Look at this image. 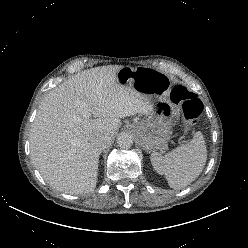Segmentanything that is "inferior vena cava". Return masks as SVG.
<instances>
[{
	"mask_svg": "<svg viewBox=\"0 0 248 248\" xmlns=\"http://www.w3.org/2000/svg\"><path fill=\"white\" fill-rule=\"evenodd\" d=\"M110 136H108L107 134H102L98 137H96L94 140H93V143L94 145H96L98 148L100 149H105L109 143H110Z\"/></svg>",
	"mask_w": 248,
	"mask_h": 248,
	"instance_id": "inferior-vena-cava-1",
	"label": "inferior vena cava"
}]
</instances>
